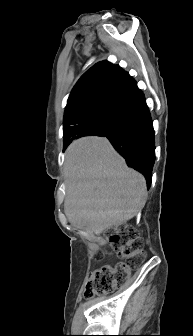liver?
Returning <instances> with one entry per match:
<instances>
[{"label":"liver","instance_id":"1","mask_svg":"<svg viewBox=\"0 0 193 336\" xmlns=\"http://www.w3.org/2000/svg\"><path fill=\"white\" fill-rule=\"evenodd\" d=\"M64 177L69 222L95 234L126 223L146 202L145 178L129 168L103 137H84L70 144Z\"/></svg>","mask_w":193,"mask_h":336}]
</instances>
